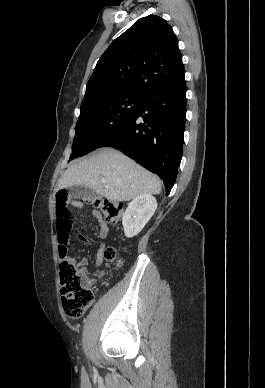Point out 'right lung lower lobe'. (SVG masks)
Returning <instances> with one entry per match:
<instances>
[{"label": "right lung lower lobe", "mask_w": 265, "mask_h": 388, "mask_svg": "<svg viewBox=\"0 0 265 388\" xmlns=\"http://www.w3.org/2000/svg\"><path fill=\"white\" fill-rule=\"evenodd\" d=\"M185 116L186 83L182 77L146 92L138 109L99 147H114L156 173L168 195L182 158Z\"/></svg>", "instance_id": "right-lung-lower-lobe-1"}]
</instances>
